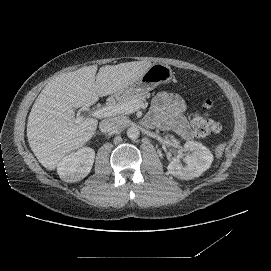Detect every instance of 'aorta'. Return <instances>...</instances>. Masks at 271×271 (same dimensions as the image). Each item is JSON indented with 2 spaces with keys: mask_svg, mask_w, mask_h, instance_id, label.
Wrapping results in <instances>:
<instances>
[{
  "mask_svg": "<svg viewBox=\"0 0 271 271\" xmlns=\"http://www.w3.org/2000/svg\"><path fill=\"white\" fill-rule=\"evenodd\" d=\"M140 135V131L137 127L131 126L127 129V137L130 139H137Z\"/></svg>",
  "mask_w": 271,
  "mask_h": 271,
  "instance_id": "obj_1",
  "label": "aorta"
}]
</instances>
